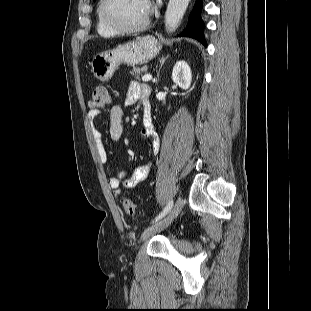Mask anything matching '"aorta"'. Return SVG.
I'll use <instances>...</instances> for the list:
<instances>
[{"label":"aorta","instance_id":"obj_1","mask_svg":"<svg viewBox=\"0 0 311 311\" xmlns=\"http://www.w3.org/2000/svg\"><path fill=\"white\" fill-rule=\"evenodd\" d=\"M190 0H169L165 13V27L168 32H173L178 27Z\"/></svg>","mask_w":311,"mask_h":311}]
</instances>
